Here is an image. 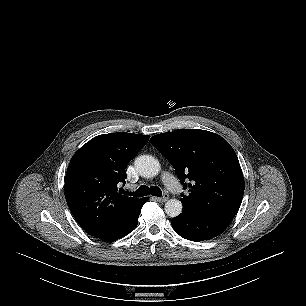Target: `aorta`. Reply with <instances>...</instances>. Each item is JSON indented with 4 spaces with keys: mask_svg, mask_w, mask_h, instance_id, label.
I'll return each instance as SVG.
<instances>
[{
    "mask_svg": "<svg viewBox=\"0 0 306 306\" xmlns=\"http://www.w3.org/2000/svg\"><path fill=\"white\" fill-rule=\"evenodd\" d=\"M135 168L145 178L158 175L160 171L159 161L150 155H141L135 159ZM182 203L177 199H170L165 203V213L174 218L181 214Z\"/></svg>",
    "mask_w": 306,
    "mask_h": 306,
    "instance_id": "762f6f07",
    "label": "aorta"
}]
</instances>
